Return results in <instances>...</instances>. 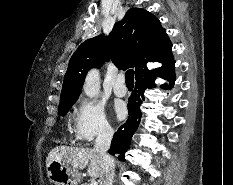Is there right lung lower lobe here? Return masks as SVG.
<instances>
[{
    "mask_svg": "<svg viewBox=\"0 0 233 185\" xmlns=\"http://www.w3.org/2000/svg\"><path fill=\"white\" fill-rule=\"evenodd\" d=\"M156 77H162L169 81V85H163V88H172L175 81V61L174 58L164 62L162 67L154 70H143L136 74L135 90L128 101L129 117L127 121L118 129L111 142L109 153L119 154V160L124 161V153L130 145V140L137 130L142 113L139 109L144 100V91L147 88L155 87Z\"/></svg>",
    "mask_w": 233,
    "mask_h": 185,
    "instance_id": "98d812e1",
    "label": "right lung lower lobe"
}]
</instances>
